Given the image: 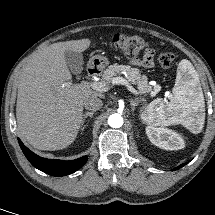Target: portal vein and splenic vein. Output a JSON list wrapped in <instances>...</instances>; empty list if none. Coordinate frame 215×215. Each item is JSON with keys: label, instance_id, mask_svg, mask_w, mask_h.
<instances>
[{"label": "portal vein and splenic vein", "instance_id": "1", "mask_svg": "<svg viewBox=\"0 0 215 215\" xmlns=\"http://www.w3.org/2000/svg\"><path fill=\"white\" fill-rule=\"evenodd\" d=\"M112 84L124 85L127 89L134 95H139V92L123 77H115L112 81ZM84 86H90L92 89L99 92L108 91V86L104 82H92L90 84H85Z\"/></svg>", "mask_w": 215, "mask_h": 215}]
</instances>
